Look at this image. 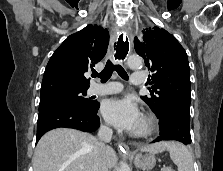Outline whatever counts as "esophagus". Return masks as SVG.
I'll list each match as a JSON object with an SVG mask.
<instances>
[{
    "label": "esophagus",
    "instance_id": "34e87169",
    "mask_svg": "<svg viewBox=\"0 0 223 171\" xmlns=\"http://www.w3.org/2000/svg\"><path fill=\"white\" fill-rule=\"evenodd\" d=\"M131 35L128 34L127 30H120L118 35L117 47L114 52L113 60L114 62H118L119 60H126L128 50H131ZM120 151L124 153L130 152L129 147L125 143L119 144Z\"/></svg>",
    "mask_w": 223,
    "mask_h": 171
}]
</instances>
